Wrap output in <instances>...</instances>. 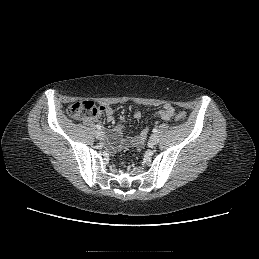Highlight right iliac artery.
I'll list each match as a JSON object with an SVG mask.
<instances>
[{
	"label": "right iliac artery",
	"instance_id": "82829eb1",
	"mask_svg": "<svg viewBox=\"0 0 259 259\" xmlns=\"http://www.w3.org/2000/svg\"><path fill=\"white\" fill-rule=\"evenodd\" d=\"M96 128H97V129H101V125L97 124V125H96Z\"/></svg>",
	"mask_w": 259,
	"mask_h": 259
}]
</instances>
